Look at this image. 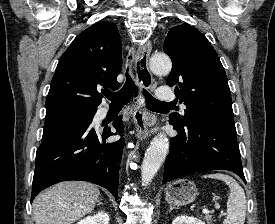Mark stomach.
Masks as SVG:
<instances>
[{"label":"stomach","instance_id":"0dacf381","mask_svg":"<svg viewBox=\"0 0 275 224\" xmlns=\"http://www.w3.org/2000/svg\"><path fill=\"white\" fill-rule=\"evenodd\" d=\"M197 195L196 185L187 179L175 180L165 189L166 201L177 207L192 203Z\"/></svg>","mask_w":275,"mask_h":224}]
</instances>
